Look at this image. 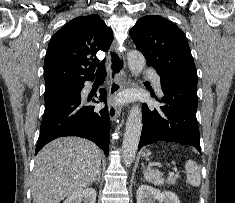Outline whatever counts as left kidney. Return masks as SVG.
Segmentation results:
<instances>
[{
	"label": "left kidney",
	"instance_id": "1",
	"mask_svg": "<svg viewBox=\"0 0 235 203\" xmlns=\"http://www.w3.org/2000/svg\"><path fill=\"white\" fill-rule=\"evenodd\" d=\"M180 203L179 198L170 191H160L156 188L142 184L137 189V203Z\"/></svg>",
	"mask_w": 235,
	"mask_h": 203
}]
</instances>
